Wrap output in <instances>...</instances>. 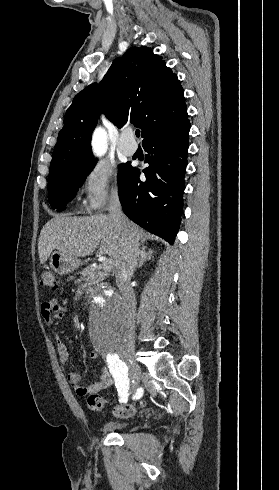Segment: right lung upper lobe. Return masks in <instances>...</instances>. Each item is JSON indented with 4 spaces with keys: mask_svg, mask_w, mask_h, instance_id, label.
Listing matches in <instances>:
<instances>
[{
    "mask_svg": "<svg viewBox=\"0 0 279 490\" xmlns=\"http://www.w3.org/2000/svg\"><path fill=\"white\" fill-rule=\"evenodd\" d=\"M100 113L118 128L135 123L145 141L189 121L177 75L147 47H132L116 58L99 85L79 92L65 114L49 177L94 160L91 134Z\"/></svg>",
    "mask_w": 279,
    "mask_h": 490,
    "instance_id": "right-lung-upper-lobe-1",
    "label": "right lung upper lobe"
}]
</instances>
